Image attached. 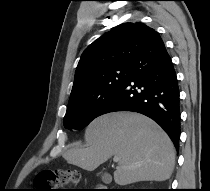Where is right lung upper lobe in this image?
Listing matches in <instances>:
<instances>
[{"instance_id":"cb5924a9","label":"right lung upper lobe","mask_w":210,"mask_h":191,"mask_svg":"<svg viewBox=\"0 0 210 191\" xmlns=\"http://www.w3.org/2000/svg\"><path fill=\"white\" fill-rule=\"evenodd\" d=\"M157 34L143 23H123L95 40L80 58L70 97L85 89L100 72L114 66L130 65Z\"/></svg>"}]
</instances>
